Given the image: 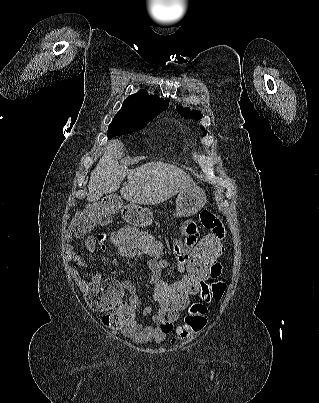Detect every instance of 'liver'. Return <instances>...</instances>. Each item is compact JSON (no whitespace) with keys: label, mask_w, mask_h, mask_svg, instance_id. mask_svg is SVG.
<instances>
[{"label":"liver","mask_w":319,"mask_h":403,"mask_svg":"<svg viewBox=\"0 0 319 403\" xmlns=\"http://www.w3.org/2000/svg\"><path fill=\"white\" fill-rule=\"evenodd\" d=\"M123 155V144L111 140L91 173L88 184V202L98 201L103 194L116 192L127 176L128 183L120 190L132 204L157 205L181 190L195 185L182 169L164 162H149L136 169H128L118 159Z\"/></svg>","instance_id":"liver-1"}]
</instances>
